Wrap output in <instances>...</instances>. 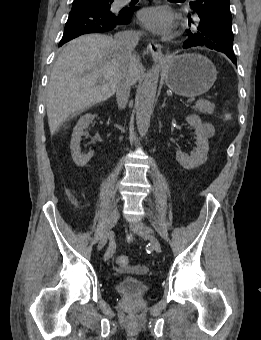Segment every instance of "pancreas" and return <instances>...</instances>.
<instances>
[{
    "instance_id": "pancreas-1",
    "label": "pancreas",
    "mask_w": 261,
    "mask_h": 340,
    "mask_svg": "<svg viewBox=\"0 0 261 340\" xmlns=\"http://www.w3.org/2000/svg\"><path fill=\"white\" fill-rule=\"evenodd\" d=\"M193 108L203 114H212L215 104L207 100H199Z\"/></svg>"
}]
</instances>
